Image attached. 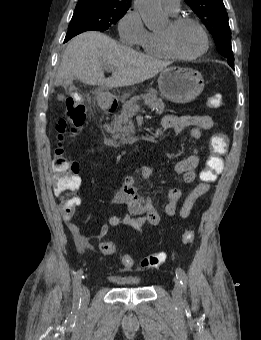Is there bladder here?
Instances as JSON below:
<instances>
[{"instance_id": "obj_1", "label": "bladder", "mask_w": 261, "mask_h": 340, "mask_svg": "<svg viewBox=\"0 0 261 340\" xmlns=\"http://www.w3.org/2000/svg\"><path fill=\"white\" fill-rule=\"evenodd\" d=\"M109 279L124 287H136L141 284V279L136 276H117L110 275Z\"/></svg>"}]
</instances>
